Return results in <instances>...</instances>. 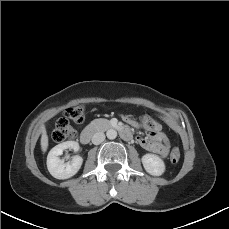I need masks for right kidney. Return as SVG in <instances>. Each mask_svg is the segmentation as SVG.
I'll return each instance as SVG.
<instances>
[{
	"label": "right kidney",
	"mask_w": 229,
	"mask_h": 229,
	"mask_svg": "<svg viewBox=\"0 0 229 229\" xmlns=\"http://www.w3.org/2000/svg\"><path fill=\"white\" fill-rule=\"evenodd\" d=\"M66 149L79 150V144L75 141H66L53 147L47 156V168L56 179H68L74 176L83 163L81 156H74L70 162L64 163L59 156Z\"/></svg>",
	"instance_id": "obj_1"
}]
</instances>
